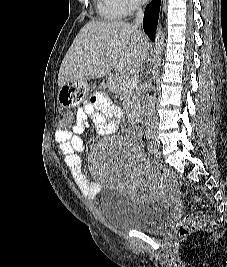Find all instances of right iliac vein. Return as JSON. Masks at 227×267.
I'll use <instances>...</instances> for the list:
<instances>
[{
	"label": "right iliac vein",
	"mask_w": 227,
	"mask_h": 267,
	"mask_svg": "<svg viewBox=\"0 0 227 267\" xmlns=\"http://www.w3.org/2000/svg\"><path fill=\"white\" fill-rule=\"evenodd\" d=\"M150 143H151V145L154 146V147H159L158 142L155 141L154 139H151V140H150Z\"/></svg>",
	"instance_id": "obj_1"
}]
</instances>
